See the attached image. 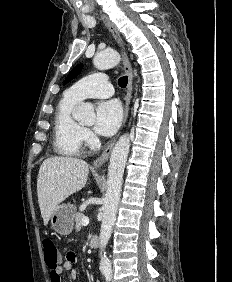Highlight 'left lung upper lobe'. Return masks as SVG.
Here are the masks:
<instances>
[{
  "label": "left lung upper lobe",
  "mask_w": 232,
  "mask_h": 282,
  "mask_svg": "<svg viewBox=\"0 0 232 282\" xmlns=\"http://www.w3.org/2000/svg\"><path fill=\"white\" fill-rule=\"evenodd\" d=\"M81 69H82V64H79L77 66H75L71 72L69 73V75L67 76L65 82H64V85L66 83H68L69 81H71L73 78H75L80 72H81Z\"/></svg>",
  "instance_id": "1"
}]
</instances>
